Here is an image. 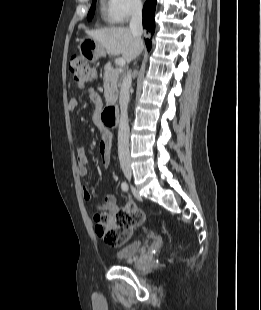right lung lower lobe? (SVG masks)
I'll use <instances>...</instances> for the list:
<instances>
[{"instance_id": "obj_1", "label": "right lung lower lobe", "mask_w": 261, "mask_h": 310, "mask_svg": "<svg viewBox=\"0 0 261 310\" xmlns=\"http://www.w3.org/2000/svg\"><path fill=\"white\" fill-rule=\"evenodd\" d=\"M156 8V0H146L143 8V28L149 33H154L155 22H154V13ZM148 50L151 48V41L145 40Z\"/></svg>"}]
</instances>
